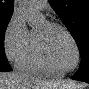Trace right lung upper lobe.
Segmentation results:
<instances>
[{
	"instance_id": "cb5924a9",
	"label": "right lung upper lobe",
	"mask_w": 89,
	"mask_h": 89,
	"mask_svg": "<svg viewBox=\"0 0 89 89\" xmlns=\"http://www.w3.org/2000/svg\"><path fill=\"white\" fill-rule=\"evenodd\" d=\"M14 0H0V11L13 12Z\"/></svg>"
}]
</instances>
